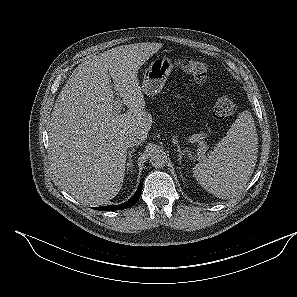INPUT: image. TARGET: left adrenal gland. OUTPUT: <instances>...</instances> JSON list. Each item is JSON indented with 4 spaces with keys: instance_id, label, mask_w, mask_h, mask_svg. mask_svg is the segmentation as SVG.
I'll use <instances>...</instances> for the list:
<instances>
[{
    "instance_id": "obj_1",
    "label": "left adrenal gland",
    "mask_w": 297,
    "mask_h": 297,
    "mask_svg": "<svg viewBox=\"0 0 297 297\" xmlns=\"http://www.w3.org/2000/svg\"><path fill=\"white\" fill-rule=\"evenodd\" d=\"M177 152H178V160L181 164V159L183 155H185L188 152V150H181L180 146L177 145Z\"/></svg>"
}]
</instances>
